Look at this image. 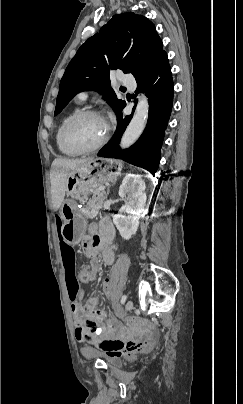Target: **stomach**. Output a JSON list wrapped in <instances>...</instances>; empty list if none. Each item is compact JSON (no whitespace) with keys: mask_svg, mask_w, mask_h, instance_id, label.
<instances>
[{"mask_svg":"<svg viewBox=\"0 0 243 404\" xmlns=\"http://www.w3.org/2000/svg\"><path fill=\"white\" fill-rule=\"evenodd\" d=\"M122 168L123 163L118 160L95 157L69 172L66 192L70 199L61 206L64 220L62 237L66 243L78 244L87 227V217L77 208L75 200L87 199L90 189L113 181Z\"/></svg>","mask_w":243,"mask_h":404,"instance_id":"obj_1","label":"stomach"}]
</instances>
